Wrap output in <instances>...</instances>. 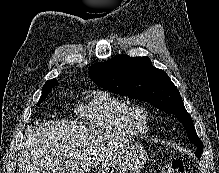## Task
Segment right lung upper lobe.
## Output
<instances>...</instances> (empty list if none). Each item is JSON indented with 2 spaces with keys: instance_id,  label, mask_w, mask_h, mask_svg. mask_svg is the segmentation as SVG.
<instances>
[{
  "instance_id": "1",
  "label": "right lung upper lobe",
  "mask_w": 219,
  "mask_h": 173,
  "mask_svg": "<svg viewBox=\"0 0 219 173\" xmlns=\"http://www.w3.org/2000/svg\"><path fill=\"white\" fill-rule=\"evenodd\" d=\"M48 82L57 83V81H56L55 79L49 80V81H47L46 83H48ZM46 83H45V84H46Z\"/></svg>"
}]
</instances>
